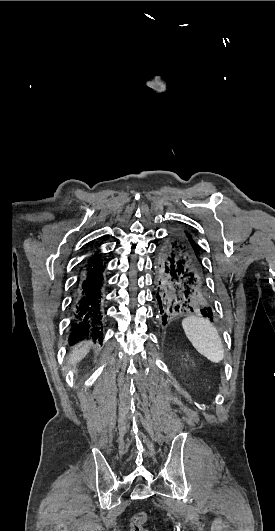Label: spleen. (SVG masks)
I'll use <instances>...</instances> for the list:
<instances>
[{
    "label": "spleen",
    "instance_id": "obj_1",
    "mask_svg": "<svg viewBox=\"0 0 275 531\" xmlns=\"http://www.w3.org/2000/svg\"><path fill=\"white\" fill-rule=\"evenodd\" d=\"M184 333L198 353L204 355L212 363H220L224 359L222 341L216 327L209 319L196 315H188L181 323Z\"/></svg>",
    "mask_w": 275,
    "mask_h": 531
}]
</instances>
